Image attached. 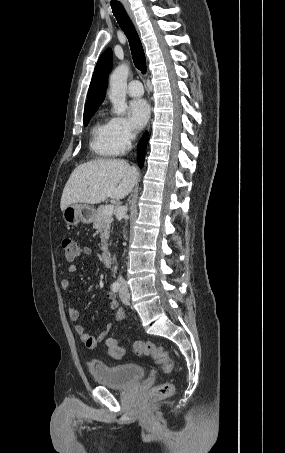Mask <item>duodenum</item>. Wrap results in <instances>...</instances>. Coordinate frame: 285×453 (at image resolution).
<instances>
[{
  "instance_id": "410a0bca",
  "label": "duodenum",
  "mask_w": 285,
  "mask_h": 453,
  "mask_svg": "<svg viewBox=\"0 0 285 453\" xmlns=\"http://www.w3.org/2000/svg\"><path fill=\"white\" fill-rule=\"evenodd\" d=\"M103 262L106 266L111 265L112 263V255L109 251H105L102 255Z\"/></svg>"
}]
</instances>
